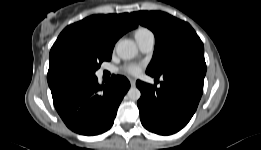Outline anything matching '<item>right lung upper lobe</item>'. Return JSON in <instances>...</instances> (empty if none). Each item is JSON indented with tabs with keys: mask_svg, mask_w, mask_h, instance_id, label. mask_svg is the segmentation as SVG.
I'll use <instances>...</instances> for the list:
<instances>
[{
	"mask_svg": "<svg viewBox=\"0 0 261 150\" xmlns=\"http://www.w3.org/2000/svg\"><path fill=\"white\" fill-rule=\"evenodd\" d=\"M138 24L130 14L92 15L77 23L67 26L59 35L50 51V65L47 74L48 84L51 88L62 81L53 71L51 55L53 50L65 40L75 36H85L93 39L102 47L113 50L116 41L126 32L134 29Z\"/></svg>",
	"mask_w": 261,
	"mask_h": 150,
	"instance_id": "obj_1",
	"label": "right lung upper lobe"
}]
</instances>
